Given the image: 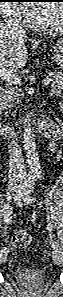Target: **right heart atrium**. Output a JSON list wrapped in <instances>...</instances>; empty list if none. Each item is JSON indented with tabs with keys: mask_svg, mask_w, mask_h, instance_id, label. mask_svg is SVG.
<instances>
[{
	"mask_svg": "<svg viewBox=\"0 0 63 297\" xmlns=\"http://www.w3.org/2000/svg\"><path fill=\"white\" fill-rule=\"evenodd\" d=\"M3 14L9 19L10 21H20L22 19V12L14 7H5L3 9Z\"/></svg>",
	"mask_w": 63,
	"mask_h": 297,
	"instance_id": "right-heart-atrium-1",
	"label": "right heart atrium"
}]
</instances>
